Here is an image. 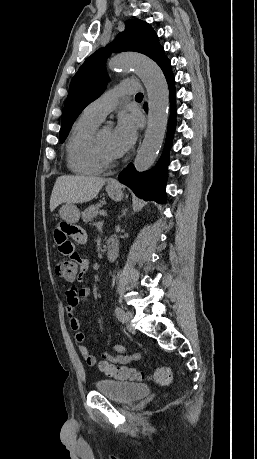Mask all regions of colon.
Wrapping results in <instances>:
<instances>
[{
	"label": "colon",
	"mask_w": 257,
	"mask_h": 459,
	"mask_svg": "<svg viewBox=\"0 0 257 459\" xmlns=\"http://www.w3.org/2000/svg\"><path fill=\"white\" fill-rule=\"evenodd\" d=\"M78 265L80 264H68L66 260L60 261L55 266V273L61 279L69 282L74 281L77 276ZM100 369L107 376L121 380H138L144 377L139 371L126 367H116L107 362H101ZM152 378L161 385H167L172 380L171 370L166 365H159L154 371Z\"/></svg>",
	"instance_id": "obj_1"
}]
</instances>
